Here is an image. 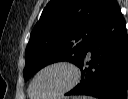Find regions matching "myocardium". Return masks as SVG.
Here are the masks:
<instances>
[{
    "mask_svg": "<svg viewBox=\"0 0 128 99\" xmlns=\"http://www.w3.org/2000/svg\"><path fill=\"white\" fill-rule=\"evenodd\" d=\"M56 67H65V68L69 69L70 72L72 73L71 82L66 87H64L62 90L56 92L55 94H52L49 96H43L44 97L43 99H54V98L63 96L65 94H67L68 92H70L72 89H74L77 86V84L80 82L81 71H80L79 67L74 62L68 61V60L55 61V62L49 63V64L41 67L33 76L32 80L29 84V89H28V93L31 98H34V99L41 98V97L34 96L33 92H32L33 85H34L36 79L38 78V76L42 72H44L48 69H51V68H56Z\"/></svg>",
    "mask_w": 128,
    "mask_h": 99,
    "instance_id": "myocardium-1",
    "label": "myocardium"
}]
</instances>
